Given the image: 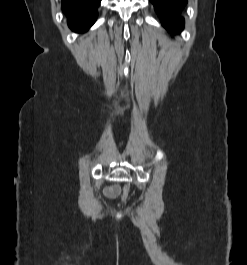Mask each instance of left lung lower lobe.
<instances>
[{"label":"left lung lower lobe","mask_w":247,"mask_h":265,"mask_svg":"<svg viewBox=\"0 0 247 265\" xmlns=\"http://www.w3.org/2000/svg\"><path fill=\"white\" fill-rule=\"evenodd\" d=\"M160 17L163 26L172 33H179L184 26V19L180 16L187 0H150Z\"/></svg>","instance_id":"obj_1"}]
</instances>
